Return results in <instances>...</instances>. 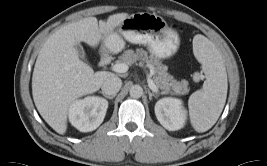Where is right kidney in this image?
Returning a JSON list of instances; mask_svg holds the SVG:
<instances>
[{
  "label": "right kidney",
  "mask_w": 267,
  "mask_h": 166,
  "mask_svg": "<svg viewBox=\"0 0 267 166\" xmlns=\"http://www.w3.org/2000/svg\"><path fill=\"white\" fill-rule=\"evenodd\" d=\"M108 102L100 97L90 96L75 101L69 109L71 124L81 132L97 129L104 120Z\"/></svg>",
  "instance_id": "obj_1"
}]
</instances>
